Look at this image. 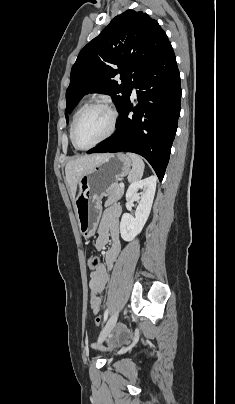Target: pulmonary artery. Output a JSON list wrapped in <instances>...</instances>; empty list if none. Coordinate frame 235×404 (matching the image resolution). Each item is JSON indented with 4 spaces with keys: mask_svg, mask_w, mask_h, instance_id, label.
I'll return each mask as SVG.
<instances>
[{
    "mask_svg": "<svg viewBox=\"0 0 235 404\" xmlns=\"http://www.w3.org/2000/svg\"><path fill=\"white\" fill-rule=\"evenodd\" d=\"M132 95L135 96L136 95V89H133Z\"/></svg>",
    "mask_w": 235,
    "mask_h": 404,
    "instance_id": "e3ab8cb5",
    "label": "pulmonary artery"
}]
</instances>
